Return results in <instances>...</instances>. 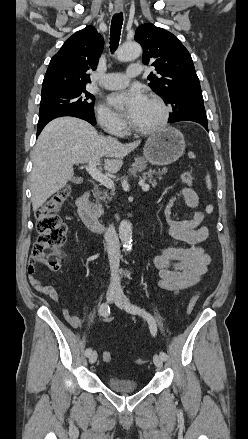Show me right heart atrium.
Listing matches in <instances>:
<instances>
[{
  "mask_svg": "<svg viewBox=\"0 0 248 439\" xmlns=\"http://www.w3.org/2000/svg\"><path fill=\"white\" fill-rule=\"evenodd\" d=\"M96 118L100 127L109 134L121 136L126 132V121L105 105L97 107Z\"/></svg>",
  "mask_w": 248,
  "mask_h": 439,
  "instance_id": "d8ad5b80",
  "label": "right heart atrium"
}]
</instances>
